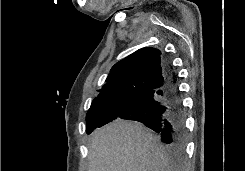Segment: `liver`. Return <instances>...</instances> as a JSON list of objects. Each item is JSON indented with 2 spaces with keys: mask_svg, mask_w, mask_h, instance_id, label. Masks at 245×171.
Instances as JSON below:
<instances>
[{
  "mask_svg": "<svg viewBox=\"0 0 245 171\" xmlns=\"http://www.w3.org/2000/svg\"><path fill=\"white\" fill-rule=\"evenodd\" d=\"M88 161V171H176L148 128L124 120L93 132Z\"/></svg>",
  "mask_w": 245,
  "mask_h": 171,
  "instance_id": "6515ba94",
  "label": "liver"
}]
</instances>
